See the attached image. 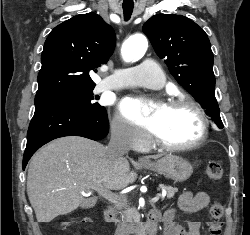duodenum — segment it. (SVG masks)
Instances as JSON below:
<instances>
[{
    "label": "duodenum",
    "mask_w": 250,
    "mask_h": 235,
    "mask_svg": "<svg viewBox=\"0 0 250 235\" xmlns=\"http://www.w3.org/2000/svg\"><path fill=\"white\" fill-rule=\"evenodd\" d=\"M160 219H161L160 215L156 211H153L149 214L147 218L146 228L149 229L150 234H153V232L156 230V226L160 222ZM105 220L107 222H114V216L109 210L106 211ZM143 228L145 227L144 226L136 227L134 233H139V231L142 230Z\"/></svg>",
    "instance_id": "obj_1"
}]
</instances>
